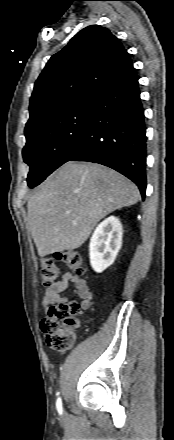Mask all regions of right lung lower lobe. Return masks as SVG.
I'll return each mask as SVG.
<instances>
[{
  "mask_svg": "<svg viewBox=\"0 0 174 440\" xmlns=\"http://www.w3.org/2000/svg\"><path fill=\"white\" fill-rule=\"evenodd\" d=\"M86 132L67 161L108 166L146 193V128L138 77L132 66L94 91Z\"/></svg>",
  "mask_w": 174,
  "mask_h": 440,
  "instance_id": "obj_1",
  "label": "right lung lower lobe"
}]
</instances>
